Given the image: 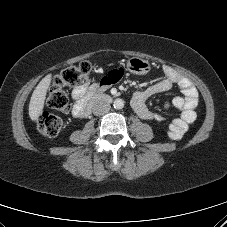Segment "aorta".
<instances>
[{"label": "aorta", "instance_id": "762f6f07", "mask_svg": "<svg viewBox=\"0 0 227 227\" xmlns=\"http://www.w3.org/2000/svg\"><path fill=\"white\" fill-rule=\"evenodd\" d=\"M115 109H122L124 107V100L117 98L113 104Z\"/></svg>", "mask_w": 227, "mask_h": 227}]
</instances>
